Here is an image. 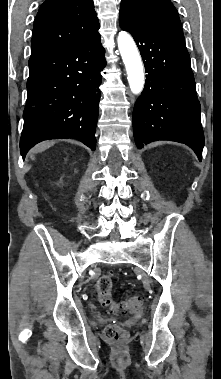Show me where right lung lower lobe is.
<instances>
[{"mask_svg": "<svg viewBox=\"0 0 221 379\" xmlns=\"http://www.w3.org/2000/svg\"><path fill=\"white\" fill-rule=\"evenodd\" d=\"M98 29L75 45L29 61L23 158L47 139L74 138L95 150L99 86L106 66Z\"/></svg>", "mask_w": 221, "mask_h": 379, "instance_id": "1", "label": "right lung lower lobe"}]
</instances>
